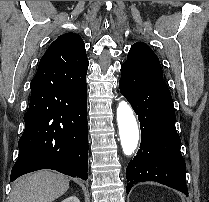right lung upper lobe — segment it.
<instances>
[{"mask_svg":"<svg viewBox=\"0 0 209 202\" xmlns=\"http://www.w3.org/2000/svg\"><path fill=\"white\" fill-rule=\"evenodd\" d=\"M55 59L51 66L55 72L67 75L73 81H80L86 77L88 59L82 38L75 33L60 35L51 43L41 59Z\"/></svg>","mask_w":209,"mask_h":202,"instance_id":"right-lung-upper-lobe-1","label":"right lung upper lobe"}]
</instances>
